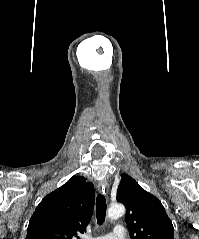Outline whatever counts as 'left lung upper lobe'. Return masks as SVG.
<instances>
[{"mask_svg": "<svg viewBox=\"0 0 199 239\" xmlns=\"http://www.w3.org/2000/svg\"><path fill=\"white\" fill-rule=\"evenodd\" d=\"M117 201L126 206L131 239H174V227L161 202L132 177L121 175Z\"/></svg>", "mask_w": 199, "mask_h": 239, "instance_id": "5c2ea615", "label": "left lung upper lobe"}]
</instances>
